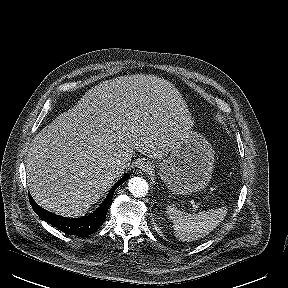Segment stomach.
I'll use <instances>...</instances> for the list:
<instances>
[{
	"label": "stomach",
	"mask_w": 288,
	"mask_h": 288,
	"mask_svg": "<svg viewBox=\"0 0 288 288\" xmlns=\"http://www.w3.org/2000/svg\"><path fill=\"white\" fill-rule=\"evenodd\" d=\"M214 150L204 136L190 131L176 142L159 166V175L169 190L188 195L203 190L213 172Z\"/></svg>",
	"instance_id": "obj_1"
}]
</instances>
